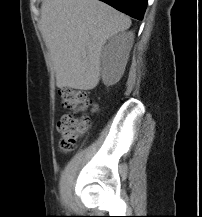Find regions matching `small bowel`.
<instances>
[{
	"instance_id": "c3829d8e",
	"label": "small bowel",
	"mask_w": 202,
	"mask_h": 217,
	"mask_svg": "<svg viewBox=\"0 0 202 217\" xmlns=\"http://www.w3.org/2000/svg\"><path fill=\"white\" fill-rule=\"evenodd\" d=\"M83 108H79L78 110H82ZM96 110V106L93 107V111Z\"/></svg>"
}]
</instances>
